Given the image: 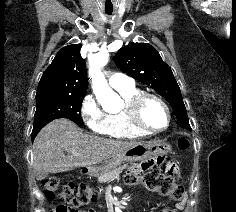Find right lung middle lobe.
<instances>
[{"label":"right lung middle lobe","mask_w":236,"mask_h":212,"mask_svg":"<svg viewBox=\"0 0 236 212\" xmlns=\"http://www.w3.org/2000/svg\"><path fill=\"white\" fill-rule=\"evenodd\" d=\"M84 96L85 94L48 95L36 98V112L31 134L32 141L47 123L57 118H67L83 126L81 104Z\"/></svg>","instance_id":"obj_1"}]
</instances>
